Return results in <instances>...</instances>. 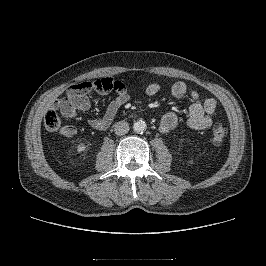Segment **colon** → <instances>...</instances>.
Wrapping results in <instances>:
<instances>
[{
  "instance_id": "5ec220e1",
  "label": "colon",
  "mask_w": 266,
  "mask_h": 266,
  "mask_svg": "<svg viewBox=\"0 0 266 266\" xmlns=\"http://www.w3.org/2000/svg\"><path fill=\"white\" fill-rule=\"evenodd\" d=\"M124 89V85L112 78L104 77L94 81H84L73 85L69 92L73 96H77L88 91H95L98 93H108L111 91L120 92ZM45 129L49 132H57L60 130L61 121L59 114L55 108H50L44 117ZM227 136V129L224 125L217 123L211 127L210 140L213 145H221Z\"/></svg>"
}]
</instances>
